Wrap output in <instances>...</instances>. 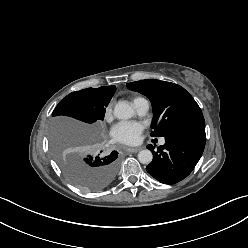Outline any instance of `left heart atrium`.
Listing matches in <instances>:
<instances>
[{"label":"left heart atrium","mask_w":248,"mask_h":248,"mask_svg":"<svg viewBox=\"0 0 248 248\" xmlns=\"http://www.w3.org/2000/svg\"><path fill=\"white\" fill-rule=\"evenodd\" d=\"M143 130V125L135 121H121L111 130L112 138L123 144H135Z\"/></svg>","instance_id":"left-heart-atrium-1"}]
</instances>
